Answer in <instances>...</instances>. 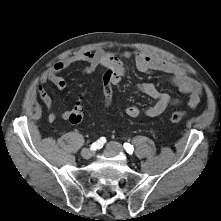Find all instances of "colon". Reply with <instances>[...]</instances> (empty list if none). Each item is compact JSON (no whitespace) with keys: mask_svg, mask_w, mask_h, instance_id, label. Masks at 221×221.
<instances>
[{"mask_svg":"<svg viewBox=\"0 0 221 221\" xmlns=\"http://www.w3.org/2000/svg\"><path fill=\"white\" fill-rule=\"evenodd\" d=\"M102 78L100 80V85L102 87L103 95V111L111 112L113 110V100H114V91H113V80L114 70L111 66H104L102 68ZM84 115V108L80 103H77L71 110L68 120L72 123H79ZM186 113L183 111L172 112L169 116V120L173 123L181 122L185 119Z\"/></svg>","mask_w":221,"mask_h":221,"instance_id":"obj_1","label":"colon"}]
</instances>
